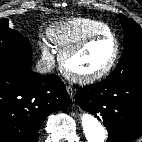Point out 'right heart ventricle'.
Listing matches in <instances>:
<instances>
[{"label": "right heart ventricle", "instance_id": "right-heart-ventricle-1", "mask_svg": "<svg viewBox=\"0 0 142 142\" xmlns=\"http://www.w3.org/2000/svg\"><path fill=\"white\" fill-rule=\"evenodd\" d=\"M106 34H111L108 25L87 18L60 22L48 30V38L61 52L90 36Z\"/></svg>", "mask_w": 142, "mask_h": 142}]
</instances>
